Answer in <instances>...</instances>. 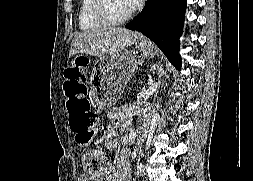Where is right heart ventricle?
Instances as JSON below:
<instances>
[{"label":"right heart ventricle","instance_id":"right-heart-ventricle-1","mask_svg":"<svg viewBox=\"0 0 253 181\" xmlns=\"http://www.w3.org/2000/svg\"><path fill=\"white\" fill-rule=\"evenodd\" d=\"M95 0H81L78 15L79 29L84 32L94 31L105 26L94 14Z\"/></svg>","mask_w":253,"mask_h":181}]
</instances>
